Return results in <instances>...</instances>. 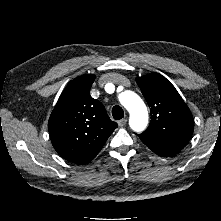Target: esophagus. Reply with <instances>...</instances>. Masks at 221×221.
<instances>
[{
    "label": "esophagus",
    "mask_w": 221,
    "mask_h": 221,
    "mask_svg": "<svg viewBox=\"0 0 221 221\" xmlns=\"http://www.w3.org/2000/svg\"><path fill=\"white\" fill-rule=\"evenodd\" d=\"M126 123H127V119L125 118L118 120V125L120 127L124 126Z\"/></svg>",
    "instance_id": "obj_1"
}]
</instances>
